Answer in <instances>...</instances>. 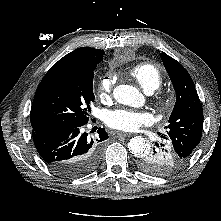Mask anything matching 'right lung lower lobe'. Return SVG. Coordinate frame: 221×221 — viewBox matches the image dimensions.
I'll return each instance as SVG.
<instances>
[{
	"instance_id": "obj_1",
	"label": "right lung lower lobe",
	"mask_w": 221,
	"mask_h": 221,
	"mask_svg": "<svg viewBox=\"0 0 221 221\" xmlns=\"http://www.w3.org/2000/svg\"><path fill=\"white\" fill-rule=\"evenodd\" d=\"M83 126V125H82ZM76 127H34L32 137L35 147L56 174L75 178L88 174L99 163L101 142L108 138L104 128H99V139L95 143Z\"/></svg>"
}]
</instances>
